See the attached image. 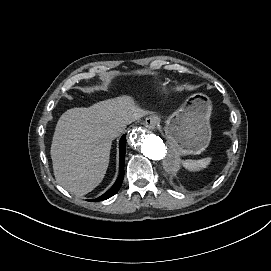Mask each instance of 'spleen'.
<instances>
[{
    "label": "spleen",
    "mask_w": 271,
    "mask_h": 271,
    "mask_svg": "<svg viewBox=\"0 0 271 271\" xmlns=\"http://www.w3.org/2000/svg\"><path fill=\"white\" fill-rule=\"evenodd\" d=\"M209 162L208 158H203V159H193V160H186L184 162V164L186 165V167L188 168H192V169H198L201 167H205Z\"/></svg>",
    "instance_id": "1"
}]
</instances>
